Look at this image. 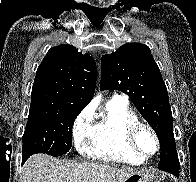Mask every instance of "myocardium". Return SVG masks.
I'll use <instances>...</instances> for the list:
<instances>
[{"label":"myocardium","mask_w":196,"mask_h":182,"mask_svg":"<svg viewBox=\"0 0 196 182\" xmlns=\"http://www.w3.org/2000/svg\"><path fill=\"white\" fill-rule=\"evenodd\" d=\"M143 130L148 131L155 140L156 147H155L154 152L152 153L144 152L138 143V137ZM127 142H128L130 149L133 152H135L136 154H138L139 156L145 159L155 156L160 151V147H161L160 138L156 130L151 125L143 123V122H138L129 129L127 133Z\"/></svg>","instance_id":"obj_1"}]
</instances>
